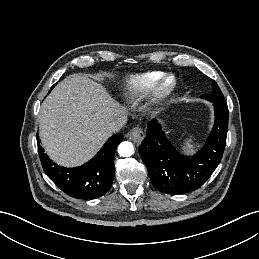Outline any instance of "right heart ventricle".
Here are the masks:
<instances>
[{
    "mask_svg": "<svg viewBox=\"0 0 259 259\" xmlns=\"http://www.w3.org/2000/svg\"><path fill=\"white\" fill-rule=\"evenodd\" d=\"M162 76L161 72L148 71L130 76L127 79L126 89L131 97L151 88V86Z\"/></svg>",
    "mask_w": 259,
    "mask_h": 259,
    "instance_id": "e07e8e85",
    "label": "right heart ventricle"
}]
</instances>
